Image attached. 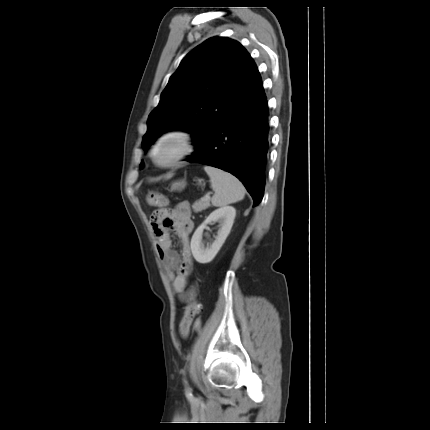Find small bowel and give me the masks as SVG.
Listing matches in <instances>:
<instances>
[{
    "label": "small bowel",
    "instance_id": "1",
    "mask_svg": "<svg viewBox=\"0 0 430 430\" xmlns=\"http://www.w3.org/2000/svg\"><path fill=\"white\" fill-rule=\"evenodd\" d=\"M193 226L188 202L178 203L174 208L163 212L156 211L151 217V228L157 240L164 272L174 292L182 299H187L191 294L187 285L192 272L190 234ZM170 230L178 238L179 251L172 248Z\"/></svg>",
    "mask_w": 430,
    "mask_h": 430
}]
</instances>
